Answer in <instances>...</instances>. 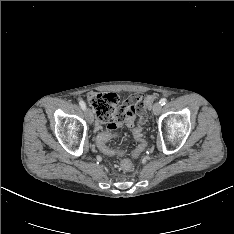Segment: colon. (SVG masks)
I'll return each instance as SVG.
<instances>
[{
  "label": "colon",
  "mask_w": 234,
  "mask_h": 234,
  "mask_svg": "<svg viewBox=\"0 0 234 234\" xmlns=\"http://www.w3.org/2000/svg\"><path fill=\"white\" fill-rule=\"evenodd\" d=\"M144 117L146 107H149L151 103L155 102L156 97L153 94L146 95L144 97ZM87 102L93 108L97 119L102 124H107L106 130H104L100 124H97V136L95 140L99 148L103 153L109 156H122L124 151L119 147H110L108 143L120 134V136L127 139V135L120 133L122 125L127 121V115L120 109L117 108L118 97L114 93H90L87 96ZM147 120V118H144ZM145 122H143V125ZM142 126L134 128L131 137L134 140H139L137 146L133 148L130 153L131 158L138 159L143 153L146 143L141 138ZM121 168L124 171H130L133 168V163L130 160H124L121 164Z\"/></svg>",
  "instance_id": "1"
}]
</instances>
